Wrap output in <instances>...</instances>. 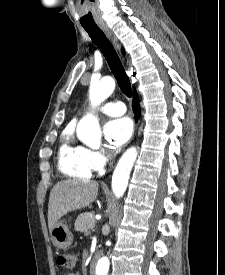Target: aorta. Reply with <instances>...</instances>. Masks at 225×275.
<instances>
[{"mask_svg": "<svg viewBox=\"0 0 225 275\" xmlns=\"http://www.w3.org/2000/svg\"><path fill=\"white\" fill-rule=\"evenodd\" d=\"M115 81L112 77H103L101 80H92L89 88V99L92 108L105 101L114 91ZM77 137L91 148H99L101 129L98 118L92 113L83 116L77 124ZM138 151L135 147L129 148L119 159L112 176V190L117 198L124 195L128 186L131 169L136 161ZM109 259L102 257L96 266V275H107Z\"/></svg>", "mask_w": 225, "mask_h": 275, "instance_id": "aorta-1", "label": "aorta"}]
</instances>
